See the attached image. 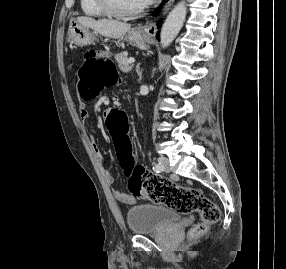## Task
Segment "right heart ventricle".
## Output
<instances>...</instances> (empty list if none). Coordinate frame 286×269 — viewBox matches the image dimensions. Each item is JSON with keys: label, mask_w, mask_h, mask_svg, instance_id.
Wrapping results in <instances>:
<instances>
[{"label": "right heart ventricle", "mask_w": 286, "mask_h": 269, "mask_svg": "<svg viewBox=\"0 0 286 269\" xmlns=\"http://www.w3.org/2000/svg\"><path fill=\"white\" fill-rule=\"evenodd\" d=\"M80 8L84 15L93 18H102L106 15L98 7L96 0H80Z\"/></svg>", "instance_id": "right-heart-ventricle-1"}]
</instances>
